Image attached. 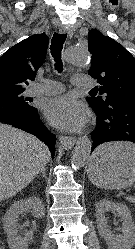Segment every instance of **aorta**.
Segmentation results:
<instances>
[{
  "instance_id": "762f6f07",
  "label": "aorta",
  "mask_w": 135,
  "mask_h": 249,
  "mask_svg": "<svg viewBox=\"0 0 135 249\" xmlns=\"http://www.w3.org/2000/svg\"><path fill=\"white\" fill-rule=\"evenodd\" d=\"M65 55L66 60L75 66L83 67L88 65L90 61L87 48L81 46L68 48ZM91 146L92 142L87 137L78 139L71 155V164L74 168L80 169L86 164L90 156Z\"/></svg>"
}]
</instances>
